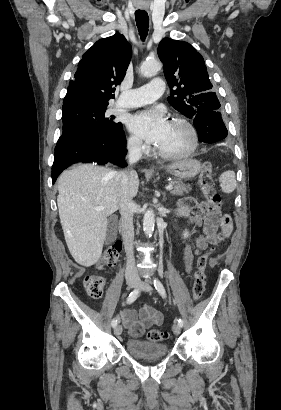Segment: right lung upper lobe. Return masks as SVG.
<instances>
[{
    "label": "right lung upper lobe",
    "mask_w": 281,
    "mask_h": 410,
    "mask_svg": "<svg viewBox=\"0 0 281 410\" xmlns=\"http://www.w3.org/2000/svg\"><path fill=\"white\" fill-rule=\"evenodd\" d=\"M130 44L120 33L98 40L79 62L63 106L75 103L108 105L114 98V85L119 84L131 60Z\"/></svg>",
    "instance_id": "1"
}]
</instances>
